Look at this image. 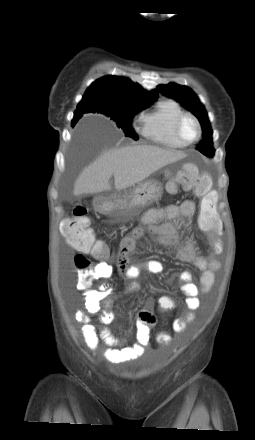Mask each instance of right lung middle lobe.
I'll list each match as a JSON object with an SVG mask.
<instances>
[{
  "label": "right lung middle lobe",
  "mask_w": 255,
  "mask_h": 440,
  "mask_svg": "<svg viewBox=\"0 0 255 440\" xmlns=\"http://www.w3.org/2000/svg\"><path fill=\"white\" fill-rule=\"evenodd\" d=\"M149 104V102L129 104L110 103L95 98L83 97L75 112L78 116V120L84 113H102L113 119L117 126L124 130L125 136L137 140L138 136L131 127L132 117L137 112L147 108Z\"/></svg>",
  "instance_id": "dd1d6c3e"
}]
</instances>
